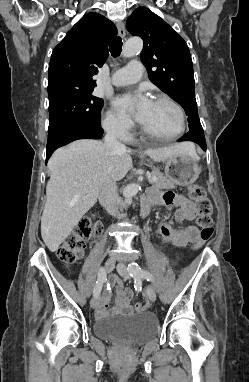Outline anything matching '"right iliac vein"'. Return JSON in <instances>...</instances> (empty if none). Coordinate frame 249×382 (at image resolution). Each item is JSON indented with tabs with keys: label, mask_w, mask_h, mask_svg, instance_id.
I'll use <instances>...</instances> for the list:
<instances>
[{
	"label": "right iliac vein",
	"mask_w": 249,
	"mask_h": 382,
	"mask_svg": "<svg viewBox=\"0 0 249 382\" xmlns=\"http://www.w3.org/2000/svg\"><path fill=\"white\" fill-rule=\"evenodd\" d=\"M115 267V259L110 258L105 262V270L110 273ZM99 303V296L96 295L91 299L90 305L92 308H96Z\"/></svg>",
	"instance_id": "obj_1"
}]
</instances>
